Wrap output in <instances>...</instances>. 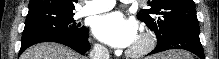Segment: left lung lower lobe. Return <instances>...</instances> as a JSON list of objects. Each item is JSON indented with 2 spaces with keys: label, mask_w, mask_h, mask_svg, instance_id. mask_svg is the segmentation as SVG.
Returning <instances> with one entry per match:
<instances>
[{
  "label": "left lung lower lobe",
  "mask_w": 219,
  "mask_h": 59,
  "mask_svg": "<svg viewBox=\"0 0 219 59\" xmlns=\"http://www.w3.org/2000/svg\"><path fill=\"white\" fill-rule=\"evenodd\" d=\"M184 49L196 54L200 59H205L199 39V25L192 24L176 30L168 38L158 40V44L150 54L170 50Z\"/></svg>",
  "instance_id": "1"
}]
</instances>
